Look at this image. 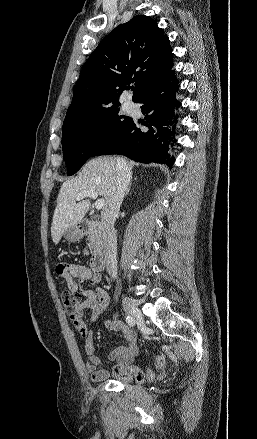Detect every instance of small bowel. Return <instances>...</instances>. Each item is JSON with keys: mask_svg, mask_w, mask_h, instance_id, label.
<instances>
[{"mask_svg": "<svg viewBox=\"0 0 257 439\" xmlns=\"http://www.w3.org/2000/svg\"><path fill=\"white\" fill-rule=\"evenodd\" d=\"M57 274L66 282L68 288L72 291L78 290L79 282H88L94 288L92 290H82L83 300L79 304L75 313L70 314V319L80 336L84 339V352L86 354L85 370L91 381L99 382L109 377V371L99 369L102 360L95 355V346L93 342L90 324L85 320L83 312L91 311V323L98 320L109 305L108 293L99 286L101 276L99 273L92 271L90 268L77 264H60L57 266ZM105 327L109 331L118 332L125 343L113 349L108 354V360L116 362L115 372L119 369L129 366L138 352L136 337L134 332L124 322L118 319H107ZM161 359V358H160ZM163 360L161 359V364Z\"/></svg>", "mask_w": 257, "mask_h": 439, "instance_id": "c3829d8e", "label": "small bowel"}]
</instances>
